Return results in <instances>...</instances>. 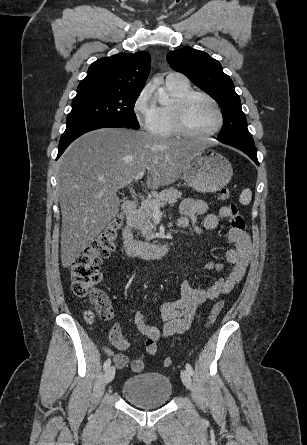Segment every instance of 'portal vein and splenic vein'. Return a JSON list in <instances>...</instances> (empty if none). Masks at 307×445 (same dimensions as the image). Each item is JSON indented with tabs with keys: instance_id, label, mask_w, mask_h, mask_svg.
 Instances as JSON below:
<instances>
[{
	"instance_id": "18ae733b",
	"label": "portal vein and splenic vein",
	"mask_w": 307,
	"mask_h": 445,
	"mask_svg": "<svg viewBox=\"0 0 307 445\" xmlns=\"http://www.w3.org/2000/svg\"><path fill=\"white\" fill-rule=\"evenodd\" d=\"M145 174V170H141V172H138V174H136L134 180H139V178H142V176H144ZM139 196L140 198H142L143 202H148V200H145L144 196H142V194H140L139 192ZM149 206H154V214H161V210L159 208V206H156V204H149Z\"/></svg>"
}]
</instances>
